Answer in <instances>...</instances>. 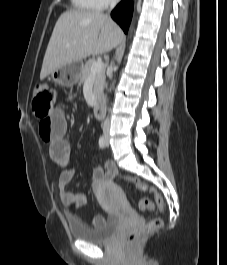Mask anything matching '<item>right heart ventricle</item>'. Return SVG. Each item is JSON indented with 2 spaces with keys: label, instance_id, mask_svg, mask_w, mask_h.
I'll return each mask as SVG.
<instances>
[{
  "label": "right heart ventricle",
  "instance_id": "right-heart-ventricle-1",
  "mask_svg": "<svg viewBox=\"0 0 227 265\" xmlns=\"http://www.w3.org/2000/svg\"><path fill=\"white\" fill-rule=\"evenodd\" d=\"M73 7L80 11H91L97 9L95 0H71Z\"/></svg>",
  "mask_w": 227,
  "mask_h": 265
}]
</instances>
